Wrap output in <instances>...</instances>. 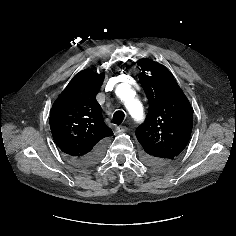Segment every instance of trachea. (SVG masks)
<instances>
[{
    "mask_svg": "<svg viewBox=\"0 0 236 236\" xmlns=\"http://www.w3.org/2000/svg\"><path fill=\"white\" fill-rule=\"evenodd\" d=\"M125 118V114L122 111H116L113 115V123L120 125Z\"/></svg>",
    "mask_w": 236,
    "mask_h": 236,
    "instance_id": "3493384b",
    "label": "trachea"
}]
</instances>
